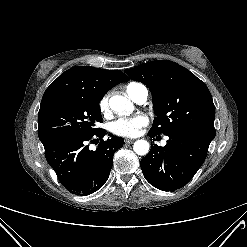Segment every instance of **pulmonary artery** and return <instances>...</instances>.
Masks as SVG:
<instances>
[{
    "mask_svg": "<svg viewBox=\"0 0 247 247\" xmlns=\"http://www.w3.org/2000/svg\"><path fill=\"white\" fill-rule=\"evenodd\" d=\"M127 94L133 101L142 104L147 100L148 90L144 85L138 84L135 87L127 90Z\"/></svg>",
    "mask_w": 247,
    "mask_h": 247,
    "instance_id": "1",
    "label": "pulmonary artery"
}]
</instances>
